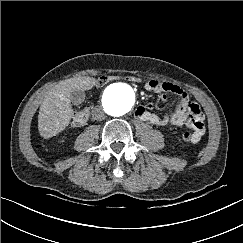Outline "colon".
<instances>
[{
	"mask_svg": "<svg viewBox=\"0 0 243 243\" xmlns=\"http://www.w3.org/2000/svg\"><path fill=\"white\" fill-rule=\"evenodd\" d=\"M115 77L114 76H101L98 79V85L103 86L105 84H107L108 82L112 81ZM126 79L131 80V81H137L138 78L136 77H126ZM89 114H90V107H84L81 109H78L74 112L73 117H72V122L74 125H82L84 124L88 118H89ZM183 140L186 142H192L193 136L191 132H185L182 135Z\"/></svg>",
	"mask_w": 243,
	"mask_h": 243,
	"instance_id": "colon-1",
	"label": "colon"
}]
</instances>
